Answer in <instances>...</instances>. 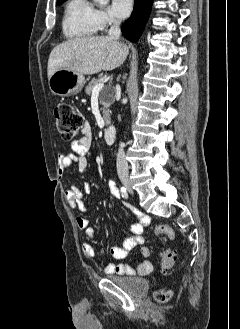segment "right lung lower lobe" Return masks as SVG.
Returning <instances> with one entry per match:
<instances>
[{
  "mask_svg": "<svg viewBox=\"0 0 240 329\" xmlns=\"http://www.w3.org/2000/svg\"><path fill=\"white\" fill-rule=\"evenodd\" d=\"M152 0H135L132 16L123 24V35L136 42L143 32L151 10Z\"/></svg>",
  "mask_w": 240,
  "mask_h": 329,
  "instance_id": "obj_1",
  "label": "right lung lower lobe"
}]
</instances>
